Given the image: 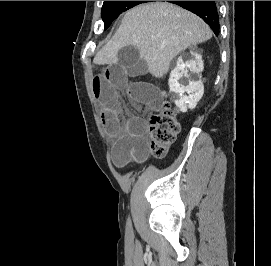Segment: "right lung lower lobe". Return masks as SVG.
I'll list each match as a JSON object with an SVG mask.
<instances>
[{
	"instance_id": "98d812e1",
	"label": "right lung lower lobe",
	"mask_w": 271,
	"mask_h": 266,
	"mask_svg": "<svg viewBox=\"0 0 271 266\" xmlns=\"http://www.w3.org/2000/svg\"><path fill=\"white\" fill-rule=\"evenodd\" d=\"M177 4L201 17L213 30L219 34V15L215 1H167Z\"/></svg>"
}]
</instances>
